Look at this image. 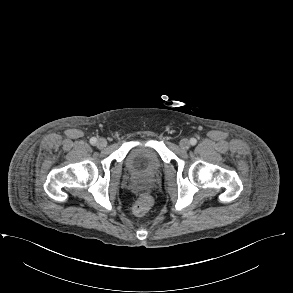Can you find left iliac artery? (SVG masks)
I'll use <instances>...</instances> for the list:
<instances>
[{
	"instance_id": "left-iliac-artery-1",
	"label": "left iliac artery",
	"mask_w": 293,
	"mask_h": 293,
	"mask_svg": "<svg viewBox=\"0 0 293 293\" xmlns=\"http://www.w3.org/2000/svg\"><path fill=\"white\" fill-rule=\"evenodd\" d=\"M191 145H195L197 143V140L195 138L190 139Z\"/></svg>"
}]
</instances>
